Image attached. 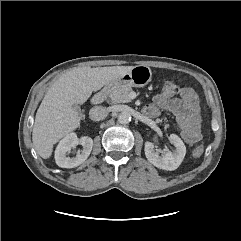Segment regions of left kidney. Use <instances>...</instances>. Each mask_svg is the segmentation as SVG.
<instances>
[{
    "label": "left kidney",
    "instance_id": "5707ae66",
    "mask_svg": "<svg viewBox=\"0 0 241 241\" xmlns=\"http://www.w3.org/2000/svg\"><path fill=\"white\" fill-rule=\"evenodd\" d=\"M168 138L176 147V150L173 152H166L160 156L158 151L155 150L154 144L149 141L145 142L144 151L146 158L151 164L157 168L172 171L177 169L183 161L186 154V147L181 138L176 134H171Z\"/></svg>",
    "mask_w": 241,
    "mask_h": 241
}]
</instances>
